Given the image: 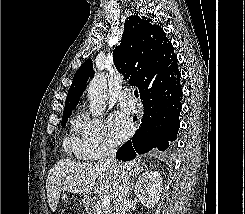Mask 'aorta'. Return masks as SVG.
Instances as JSON below:
<instances>
[{
	"label": "aorta",
	"mask_w": 245,
	"mask_h": 214,
	"mask_svg": "<svg viewBox=\"0 0 245 214\" xmlns=\"http://www.w3.org/2000/svg\"><path fill=\"white\" fill-rule=\"evenodd\" d=\"M89 108L92 116H99L107 106V80L104 73L95 75L88 87Z\"/></svg>",
	"instance_id": "762f6f07"
}]
</instances>
